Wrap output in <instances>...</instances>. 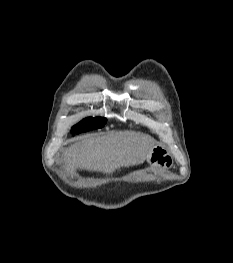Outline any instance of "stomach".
Listing matches in <instances>:
<instances>
[{"instance_id": "stomach-1", "label": "stomach", "mask_w": 233, "mask_h": 263, "mask_svg": "<svg viewBox=\"0 0 233 263\" xmlns=\"http://www.w3.org/2000/svg\"><path fill=\"white\" fill-rule=\"evenodd\" d=\"M147 161L153 166L163 168H169L173 165L172 157L162 146H154L147 154Z\"/></svg>"}]
</instances>
